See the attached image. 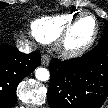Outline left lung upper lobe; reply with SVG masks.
Masks as SVG:
<instances>
[{
	"instance_id": "left-lung-upper-lobe-1",
	"label": "left lung upper lobe",
	"mask_w": 108,
	"mask_h": 108,
	"mask_svg": "<svg viewBox=\"0 0 108 108\" xmlns=\"http://www.w3.org/2000/svg\"><path fill=\"white\" fill-rule=\"evenodd\" d=\"M104 21H105V32L103 33L100 39V42H103V41L108 42V21L107 20H104Z\"/></svg>"
}]
</instances>
